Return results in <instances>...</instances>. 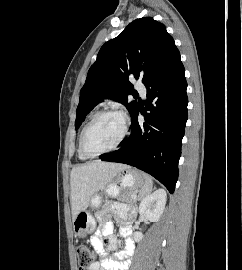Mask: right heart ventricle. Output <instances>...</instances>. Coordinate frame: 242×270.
<instances>
[{"label": "right heart ventricle", "mask_w": 242, "mask_h": 270, "mask_svg": "<svg viewBox=\"0 0 242 270\" xmlns=\"http://www.w3.org/2000/svg\"><path fill=\"white\" fill-rule=\"evenodd\" d=\"M93 116H94V115L90 116V118H89V120L87 121V123L92 119ZM87 123H86V124L84 125V127L82 128L81 133H80V137H81L82 131H83V129L85 128V126L87 125ZM80 137H79V141H80ZM77 152H78V156H79V158H80L81 160H86V159H87V157H85V156L81 153V151H80V149H79V145H78V150H77Z\"/></svg>", "instance_id": "right-heart-ventricle-1"}]
</instances>
